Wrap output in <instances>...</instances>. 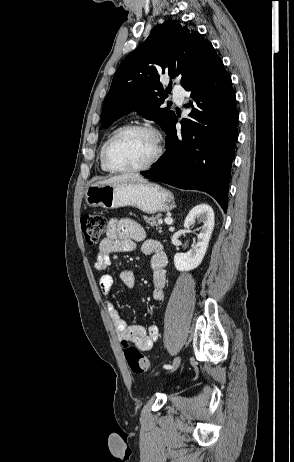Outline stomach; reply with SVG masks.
Masks as SVG:
<instances>
[{
    "instance_id": "1",
    "label": "stomach",
    "mask_w": 294,
    "mask_h": 462,
    "mask_svg": "<svg viewBox=\"0 0 294 462\" xmlns=\"http://www.w3.org/2000/svg\"><path fill=\"white\" fill-rule=\"evenodd\" d=\"M85 200L90 207L132 206L148 214L170 211L175 206L173 195L160 185L137 181L91 185L86 190Z\"/></svg>"
}]
</instances>
